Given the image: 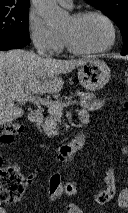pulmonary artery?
Listing matches in <instances>:
<instances>
[{"label":"pulmonary artery","mask_w":128,"mask_h":213,"mask_svg":"<svg viewBox=\"0 0 128 213\" xmlns=\"http://www.w3.org/2000/svg\"><path fill=\"white\" fill-rule=\"evenodd\" d=\"M60 4L67 6V7H72V0H57Z\"/></svg>","instance_id":"e3ab8cb5"}]
</instances>
